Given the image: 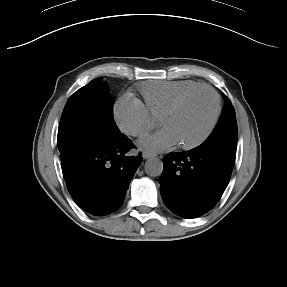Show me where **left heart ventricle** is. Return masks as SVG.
<instances>
[{
    "label": "left heart ventricle",
    "instance_id": "b2bd125f",
    "mask_svg": "<svg viewBox=\"0 0 287 287\" xmlns=\"http://www.w3.org/2000/svg\"><path fill=\"white\" fill-rule=\"evenodd\" d=\"M214 110L212 96L207 91L192 95L172 116L161 125L169 129L178 143H188L199 138L207 129Z\"/></svg>",
    "mask_w": 287,
    "mask_h": 287
}]
</instances>
